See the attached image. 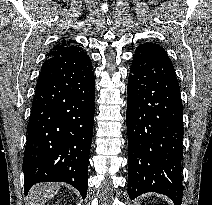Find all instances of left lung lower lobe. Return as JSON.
<instances>
[{"label":"left lung lower lobe","mask_w":212,"mask_h":205,"mask_svg":"<svg viewBox=\"0 0 212 205\" xmlns=\"http://www.w3.org/2000/svg\"><path fill=\"white\" fill-rule=\"evenodd\" d=\"M183 107L174 66L156 43L133 55L128 78V194L169 196L181 205L183 185Z\"/></svg>","instance_id":"1"}]
</instances>
